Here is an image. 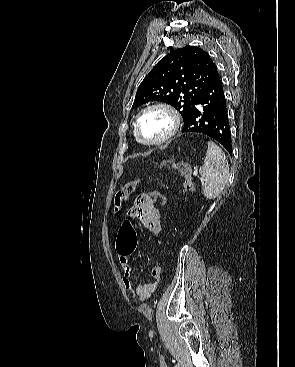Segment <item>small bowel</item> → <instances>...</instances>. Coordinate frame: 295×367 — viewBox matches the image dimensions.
Returning <instances> with one entry per match:
<instances>
[{
    "label": "small bowel",
    "instance_id": "1",
    "mask_svg": "<svg viewBox=\"0 0 295 367\" xmlns=\"http://www.w3.org/2000/svg\"><path fill=\"white\" fill-rule=\"evenodd\" d=\"M152 195H139L135 200L133 208L128 213V218L138 219L142 225L157 238L161 232V216L158 208V201L161 194L153 191ZM133 249L122 250L120 248L119 236L116 244V251L120 266L123 270V285L126 290H129L133 299L143 302L150 299L160 284L162 276V268L154 266L151 269V276L154 282H147L134 285L131 280L132 266L130 262V254Z\"/></svg>",
    "mask_w": 295,
    "mask_h": 367
}]
</instances>
